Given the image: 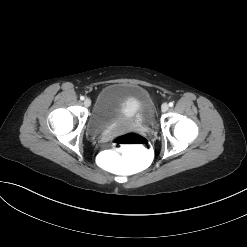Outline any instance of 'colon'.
<instances>
[{
    "instance_id": "obj_1",
    "label": "colon",
    "mask_w": 247,
    "mask_h": 247,
    "mask_svg": "<svg viewBox=\"0 0 247 247\" xmlns=\"http://www.w3.org/2000/svg\"><path fill=\"white\" fill-rule=\"evenodd\" d=\"M155 159L152 144L141 134L127 132L112 140L97 156L98 167L106 173L139 175Z\"/></svg>"
}]
</instances>
